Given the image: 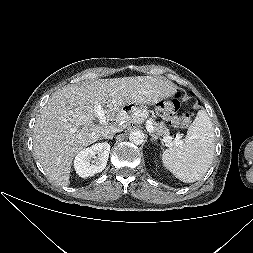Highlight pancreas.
Here are the masks:
<instances>
[{
  "mask_svg": "<svg viewBox=\"0 0 253 253\" xmlns=\"http://www.w3.org/2000/svg\"><path fill=\"white\" fill-rule=\"evenodd\" d=\"M153 127H154V133L157 136H169V129L167 128V126L163 123H153Z\"/></svg>",
  "mask_w": 253,
  "mask_h": 253,
  "instance_id": "pancreas-1",
  "label": "pancreas"
}]
</instances>
